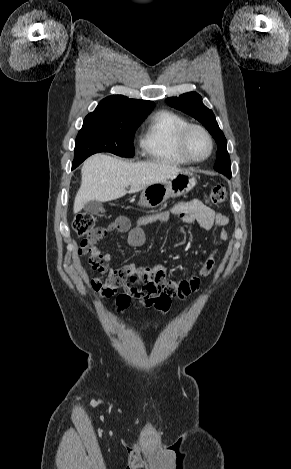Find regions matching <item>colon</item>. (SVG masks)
<instances>
[{"label": "colon", "mask_w": 291, "mask_h": 469, "mask_svg": "<svg viewBox=\"0 0 291 469\" xmlns=\"http://www.w3.org/2000/svg\"><path fill=\"white\" fill-rule=\"evenodd\" d=\"M227 197V190L223 184L216 185L207 196V202L209 204H220ZM73 230L79 236L82 237V243L80 252H89L90 248L95 245L96 242L101 240L106 235V229L103 227L96 226V215L90 212H82L78 214L73 221ZM89 263L93 269L102 272L105 270V263L97 258L90 257ZM101 283H96L92 287L95 290L102 288ZM150 291L154 292L155 289L150 287ZM116 301L114 305L117 306L116 310L126 313L129 307H136L144 305V308L148 311H160L166 313L170 308V296L167 293H160L156 296H126L124 291L116 294Z\"/></svg>", "instance_id": "colon-1"}]
</instances>
